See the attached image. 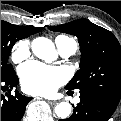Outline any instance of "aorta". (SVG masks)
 Returning <instances> with one entry per match:
<instances>
[{"label": "aorta", "instance_id": "obj_1", "mask_svg": "<svg viewBox=\"0 0 121 121\" xmlns=\"http://www.w3.org/2000/svg\"><path fill=\"white\" fill-rule=\"evenodd\" d=\"M32 52L40 59L52 61L56 57V50L53 42L45 37H37L31 43ZM56 115L61 118H67L71 113V105L68 102H61L55 107Z\"/></svg>", "mask_w": 121, "mask_h": 121}]
</instances>
